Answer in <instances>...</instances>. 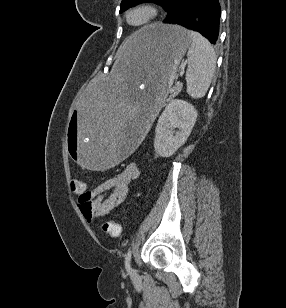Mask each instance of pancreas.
Instances as JSON below:
<instances>
[{"instance_id":"obj_1","label":"pancreas","mask_w":286,"mask_h":308,"mask_svg":"<svg viewBox=\"0 0 286 308\" xmlns=\"http://www.w3.org/2000/svg\"><path fill=\"white\" fill-rule=\"evenodd\" d=\"M182 90V85H178L176 87H174V89L171 91V95H170V98H174L176 97Z\"/></svg>"}]
</instances>
